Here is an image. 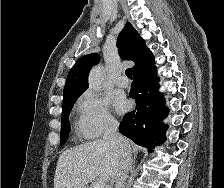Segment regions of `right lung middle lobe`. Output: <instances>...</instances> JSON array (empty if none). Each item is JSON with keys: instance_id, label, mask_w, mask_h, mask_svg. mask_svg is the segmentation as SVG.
<instances>
[{"instance_id": "1", "label": "right lung middle lobe", "mask_w": 224, "mask_h": 188, "mask_svg": "<svg viewBox=\"0 0 224 188\" xmlns=\"http://www.w3.org/2000/svg\"><path fill=\"white\" fill-rule=\"evenodd\" d=\"M76 93L69 97L63 99V108H62V118H61V135H60V145H63L68 140V134L70 131V123L68 116L71 112V109L78 99V97L82 94Z\"/></svg>"}]
</instances>
